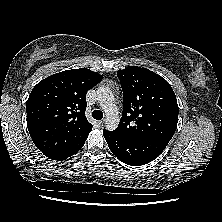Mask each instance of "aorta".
<instances>
[{"mask_svg":"<svg viewBox=\"0 0 222 222\" xmlns=\"http://www.w3.org/2000/svg\"><path fill=\"white\" fill-rule=\"evenodd\" d=\"M97 100L105 112V127L113 131L119 124V111L115 104V98L110 88L101 86L97 89Z\"/></svg>","mask_w":222,"mask_h":222,"instance_id":"obj_1","label":"aorta"}]
</instances>
